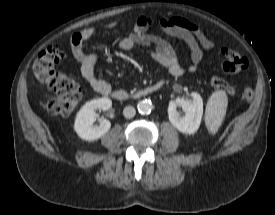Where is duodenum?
<instances>
[{
	"label": "duodenum",
	"instance_id": "obj_1",
	"mask_svg": "<svg viewBox=\"0 0 275 215\" xmlns=\"http://www.w3.org/2000/svg\"><path fill=\"white\" fill-rule=\"evenodd\" d=\"M164 86V81H158L154 84H151L149 86H146L140 90H138L137 92L133 93V94H129L128 92L124 91V90H114L111 93V97L116 100V101H126V100H130V99H139L145 96H148L150 94L156 93L159 90L162 89V87Z\"/></svg>",
	"mask_w": 275,
	"mask_h": 215
}]
</instances>
